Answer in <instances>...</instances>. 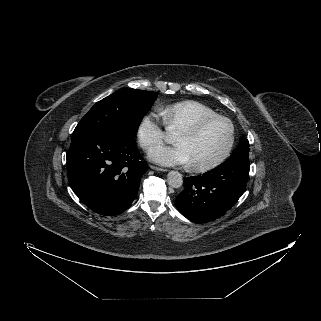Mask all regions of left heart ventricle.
I'll use <instances>...</instances> for the list:
<instances>
[{"label":"left heart ventricle","mask_w":321,"mask_h":321,"mask_svg":"<svg viewBox=\"0 0 321 321\" xmlns=\"http://www.w3.org/2000/svg\"><path fill=\"white\" fill-rule=\"evenodd\" d=\"M228 138L227 124L222 120H215L195 134L179 131L175 141L187 147L190 164H204L215 160L222 153Z\"/></svg>","instance_id":"obj_1"}]
</instances>
